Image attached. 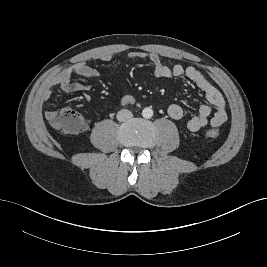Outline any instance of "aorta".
<instances>
[{
	"label": "aorta",
	"mask_w": 267,
	"mask_h": 267,
	"mask_svg": "<svg viewBox=\"0 0 267 267\" xmlns=\"http://www.w3.org/2000/svg\"><path fill=\"white\" fill-rule=\"evenodd\" d=\"M142 116L146 119H149L153 116V110L151 108H144L142 111Z\"/></svg>",
	"instance_id": "obj_1"
}]
</instances>
